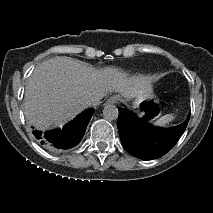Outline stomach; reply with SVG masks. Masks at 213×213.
<instances>
[{"label":"stomach","mask_w":213,"mask_h":213,"mask_svg":"<svg viewBox=\"0 0 213 213\" xmlns=\"http://www.w3.org/2000/svg\"><path fill=\"white\" fill-rule=\"evenodd\" d=\"M150 101H153L157 105L159 104L158 98L153 93L152 86H150L149 91L139 93L131 102L133 107L136 108L138 112H140L145 110L146 103H149Z\"/></svg>","instance_id":"1"}]
</instances>
